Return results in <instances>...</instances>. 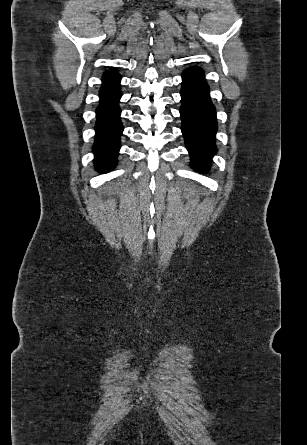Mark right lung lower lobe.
<instances>
[{
    "label": "right lung lower lobe",
    "instance_id": "right-lung-lower-lobe-1",
    "mask_svg": "<svg viewBox=\"0 0 307 445\" xmlns=\"http://www.w3.org/2000/svg\"><path fill=\"white\" fill-rule=\"evenodd\" d=\"M100 104L96 110V136L94 143L95 166L99 171H108L116 165L120 148L119 137L123 130L120 121L121 97L120 75L116 71H107L102 77Z\"/></svg>",
    "mask_w": 307,
    "mask_h": 445
}]
</instances>
